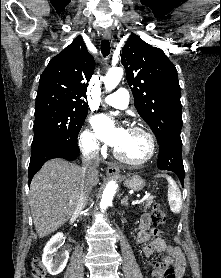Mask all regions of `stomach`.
Instances as JSON below:
<instances>
[{"mask_svg": "<svg viewBox=\"0 0 221 278\" xmlns=\"http://www.w3.org/2000/svg\"><path fill=\"white\" fill-rule=\"evenodd\" d=\"M124 185L134 191H141L145 185L144 180L138 176L134 175L129 179H126Z\"/></svg>", "mask_w": 221, "mask_h": 278, "instance_id": "stomach-1", "label": "stomach"}]
</instances>
